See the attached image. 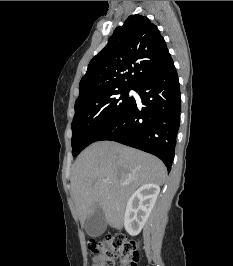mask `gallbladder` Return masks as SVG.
<instances>
[{
    "mask_svg": "<svg viewBox=\"0 0 233 266\" xmlns=\"http://www.w3.org/2000/svg\"><path fill=\"white\" fill-rule=\"evenodd\" d=\"M106 228L107 221L104 212L100 206H97L86 221V232L91 237H98L105 232Z\"/></svg>",
    "mask_w": 233,
    "mask_h": 266,
    "instance_id": "bac80fb5",
    "label": "gallbladder"
}]
</instances>
